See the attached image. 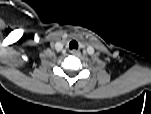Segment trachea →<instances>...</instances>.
Returning a JSON list of instances; mask_svg holds the SVG:
<instances>
[{"instance_id": "1", "label": "trachea", "mask_w": 151, "mask_h": 114, "mask_svg": "<svg viewBox=\"0 0 151 114\" xmlns=\"http://www.w3.org/2000/svg\"><path fill=\"white\" fill-rule=\"evenodd\" d=\"M69 49H70V50L78 49V43H77V41L72 40V41L69 43Z\"/></svg>"}]
</instances>
